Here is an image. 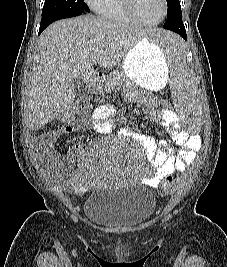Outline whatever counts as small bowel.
I'll return each instance as SVG.
<instances>
[{
    "instance_id": "small-bowel-1",
    "label": "small bowel",
    "mask_w": 227,
    "mask_h": 267,
    "mask_svg": "<svg viewBox=\"0 0 227 267\" xmlns=\"http://www.w3.org/2000/svg\"><path fill=\"white\" fill-rule=\"evenodd\" d=\"M114 108L110 104H102L95 108L92 115L91 128L97 134H108L114 128L112 116ZM150 118L159 122L170 130L174 142L181 148L175 151L170 143L162 141L156 143L143 135H134L142 145L148 161L154 167V172L144 179V182L154 188H162L167 178L164 173H176L185 169L195 159L196 151L201 147L198 135H190L181 129L176 113L171 109L152 110ZM82 128L81 125H72L65 128L64 132H75ZM55 134L46 141L44 152H50L52 139ZM49 146V147H48ZM84 159V158H83ZM65 180L70 187H84L88 180L84 166L75 171L67 170Z\"/></svg>"
}]
</instances>
